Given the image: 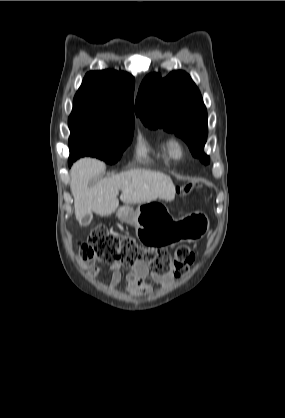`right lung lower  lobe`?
Returning a JSON list of instances; mask_svg holds the SVG:
<instances>
[{"label": "right lung lower lobe", "instance_id": "1", "mask_svg": "<svg viewBox=\"0 0 285 418\" xmlns=\"http://www.w3.org/2000/svg\"><path fill=\"white\" fill-rule=\"evenodd\" d=\"M73 162H74V161H73ZM73 162H70V163H69V166H71V164H72Z\"/></svg>", "mask_w": 285, "mask_h": 418}]
</instances>
